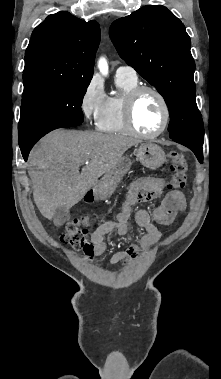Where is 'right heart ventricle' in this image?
Returning a JSON list of instances; mask_svg holds the SVG:
<instances>
[{
    "mask_svg": "<svg viewBox=\"0 0 221 379\" xmlns=\"http://www.w3.org/2000/svg\"><path fill=\"white\" fill-rule=\"evenodd\" d=\"M116 83L122 90V94L107 98L104 112L96 125L102 132L123 134L128 132L123 115L124 99L130 90L138 86V81L116 77Z\"/></svg>",
    "mask_w": 221,
    "mask_h": 379,
    "instance_id": "right-heart-ventricle-1",
    "label": "right heart ventricle"
}]
</instances>
